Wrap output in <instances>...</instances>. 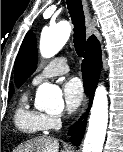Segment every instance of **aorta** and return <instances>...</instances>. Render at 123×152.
Segmentation results:
<instances>
[{"label": "aorta", "instance_id": "aorta-1", "mask_svg": "<svg viewBox=\"0 0 123 152\" xmlns=\"http://www.w3.org/2000/svg\"><path fill=\"white\" fill-rule=\"evenodd\" d=\"M71 34V25L67 21L44 28L41 33L39 50L43 58L56 55L66 44ZM64 102L61 90L51 84H42L36 93L35 107L46 112L62 109ZM108 124V98L104 86L96 89L88 131L83 145V152H102Z\"/></svg>", "mask_w": 123, "mask_h": 152}]
</instances>
